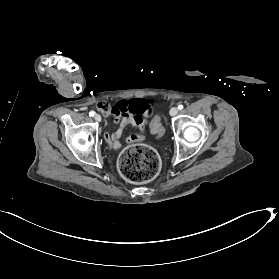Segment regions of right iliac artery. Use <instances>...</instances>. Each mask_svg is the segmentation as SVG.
Listing matches in <instances>:
<instances>
[{
	"label": "right iliac artery",
	"mask_w": 279,
	"mask_h": 279,
	"mask_svg": "<svg viewBox=\"0 0 279 279\" xmlns=\"http://www.w3.org/2000/svg\"><path fill=\"white\" fill-rule=\"evenodd\" d=\"M89 115H90L91 117H93V116H94V112H93V111H90V112H89Z\"/></svg>",
	"instance_id": "right-iliac-artery-1"
}]
</instances>
